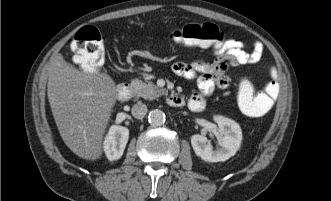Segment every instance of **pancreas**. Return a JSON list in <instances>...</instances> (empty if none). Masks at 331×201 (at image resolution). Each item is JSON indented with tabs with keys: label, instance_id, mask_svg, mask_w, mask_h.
Here are the masks:
<instances>
[{
	"label": "pancreas",
	"instance_id": "1",
	"mask_svg": "<svg viewBox=\"0 0 331 201\" xmlns=\"http://www.w3.org/2000/svg\"><path fill=\"white\" fill-rule=\"evenodd\" d=\"M131 86L134 89V95L144 99L153 100L165 93L164 89L157 87L152 82L145 83L139 79H133L131 81Z\"/></svg>",
	"mask_w": 331,
	"mask_h": 201
}]
</instances>
